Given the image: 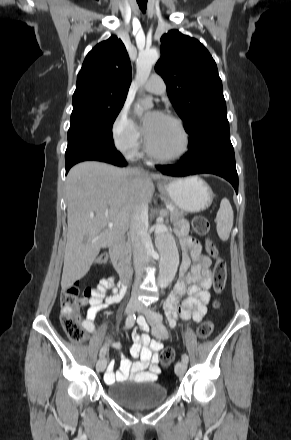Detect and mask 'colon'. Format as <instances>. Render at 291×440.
Wrapping results in <instances>:
<instances>
[{"label":"colon","mask_w":291,"mask_h":440,"mask_svg":"<svg viewBox=\"0 0 291 440\" xmlns=\"http://www.w3.org/2000/svg\"><path fill=\"white\" fill-rule=\"evenodd\" d=\"M193 230L198 234H206L210 229V224L205 216L198 215L192 221ZM206 251L208 255L215 259L214 267V289L220 293L226 283L227 268L223 259L218 257L216 246L211 240L206 241ZM94 289L89 287L82 288L78 283L62 288L61 291V308L60 321L64 332L72 342H81L85 338V331L80 324V311L82 307L92 297ZM213 330V324L210 321L203 322L198 328V337L200 339L207 338ZM175 357V351L171 347H167L161 354V363L168 367Z\"/></svg>","instance_id":"5ec220e1"}]
</instances>
